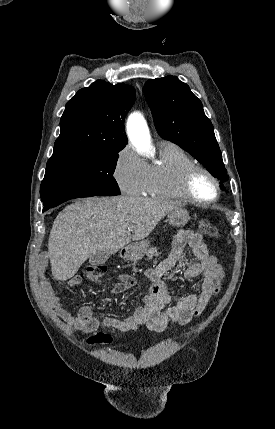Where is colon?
Wrapping results in <instances>:
<instances>
[{
  "label": "colon",
  "instance_id": "obj_1",
  "mask_svg": "<svg viewBox=\"0 0 275 429\" xmlns=\"http://www.w3.org/2000/svg\"><path fill=\"white\" fill-rule=\"evenodd\" d=\"M199 228L201 233L207 237L218 238L220 236V231L217 226L208 220H201ZM106 272L107 267L104 265H87L84 268L85 277L93 282L100 281ZM88 341L90 344L107 343L110 341V337L103 333H98L92 336Z\"/></svg>",
  "mask_w": 275,
  "mask_h": 429
}]
</instances>
